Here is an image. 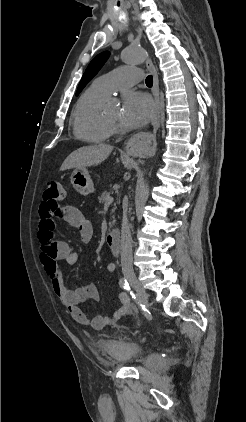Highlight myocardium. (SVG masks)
<instances>
[{
  "mask_svg": "<svg viewBox=\"0 0 246 422\" xmlns=\"http://www.w3.org/2000/svg\"><path fill=\"white\" fill-rule=\"evenodd\" d=\"M103 119L105 121V123L109 126V127H114L115 126V122H112L110 120H108L105 115H103Z\"/></svg>",
  "mask_w": 246,
  "mask_h": 422,
  "instance_id": "myocardium-1",
  "label": "myocardium"
}]
</instances>
